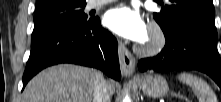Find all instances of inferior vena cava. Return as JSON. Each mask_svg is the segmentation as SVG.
I'll use <instances>...</instances> for the list:
<instances>
[{
	"label": "inferior vena cava",
	"mask_w": 221,
	"mask_h": 102,
	"mask_svg": "<svg viewBox=\"0 0 221 102\" xmlns=\"http://www.w3.org/2000/svg\"><path fill=\"white\" fill-rule=\"evenodd\" d=\"M93 102H110L108 83L100 71L94 72Z\"/></svg>",
	"instance_id": "obj_1"
}]
</instances>
